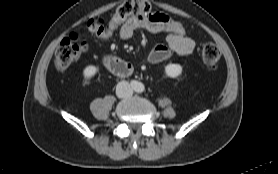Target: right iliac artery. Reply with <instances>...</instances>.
I'll list each match as a JSON object with an SVG mask.
<instances>
[{"mask_svg": "<svg viewBox=\"0 0 278 174\" xmlns=\"http://www.w3.org/2000/svg\"><path fill=\"white\" fill-rule=\"evenodd\" d=\"M130 84H131L132 87H136V85H137L136 81H131Z\"/></svg>", "mask_w": 278, "mask_h": 174, "instance_id": "82829eb1", "label": "right iliac artery"}]
</instances>
